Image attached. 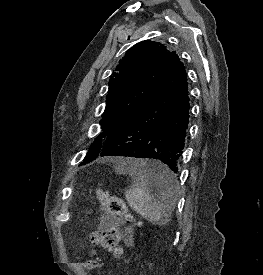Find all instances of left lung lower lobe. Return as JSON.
I'll use <instances>...</instances> for the list:
<instances>
[{
  "label": "left lung lower lobe",
  "instance_id": "obj_1",
  "mask_svg": "<svg viewBox=\"0 0 263 275\" xmlns=\"http://www.w3.org/2000/svg\"><path fill=\"white\" fill-rule=\"evenodd\" d=\"M189 117L187 75L176 54L158 85L120 130L105 140L98 156L154 159L178 173ZM144 172L148 182L163 190L170 187L171 175L155 169Z\"/></svg>",
  "mask_w": 263,
  "mask_h": 275
}]
</instances>
